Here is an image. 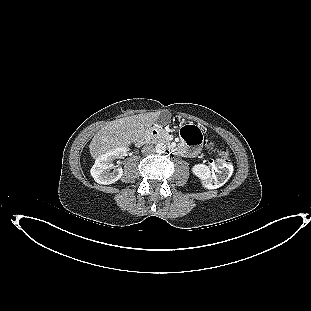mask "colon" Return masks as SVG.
I'll return each mask as SVG.
<instances>
[{"label": "colon", "instance_id": "obj_1", "mask_svg": "<svg viewBox=\"0 0 311 311\" xmlns=\"http://www.w3.org/2000/svg\"><path fill=\"white\" fill-rule=\"evenodd\" d=\"M182 136L190 144H199L201 141L200 132H196L191 126H184L182 128ZM211 169L212 177L210 183L212 185H222L229 179L233 166L227 150H218L217 156L211 160Z\"/></svg>", "mask_w": 311, "mask_h": 311}]
</instances>
